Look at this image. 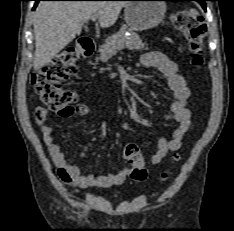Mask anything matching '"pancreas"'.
Masks as SVG:
<instances>
[{"label": "pancreas", "mask_w": 234, "mask_h": 231, "mask_svg": "<svg viewBox=\"0 0 234 231\" xmlns=\"http://www.w3.org/2000/svg\"><path fill=\"white\" fill-rule=\"evenodd\" d=\"M126 32H129L130 35L126 36ZM123 48L137 51L147 50L145 43L142 42L136 33L126 26H122L117 33L106 39V43L99 49L100 55L98 59L102 62H107Z\"/></svg>", "instance_id": "1"}]
</instances>
